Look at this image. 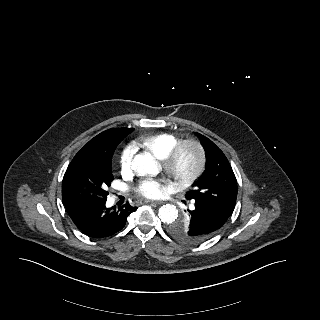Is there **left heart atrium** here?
Instances as JSON below:
<instances>
[{
    "instance_id": "1",
    "label": "left heart atrium",
    "mask_w": 320,
    "mask_h": 320,
    "mask_svg": "<svg viewBox=\"0 0 320 320\" xmlns=\"http://www.w3.org/2000/svg\"><path fill=\"white\" fill-rule=\"evenodd\" d=\"M166 189L167 186L161 180L145 179L138 184L136 192L144 197L159 198Z\"/></svg>"
}]
</instances>
